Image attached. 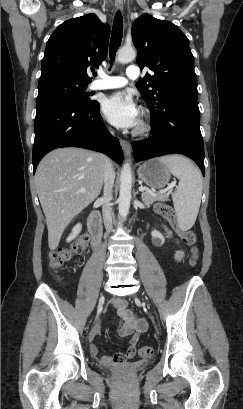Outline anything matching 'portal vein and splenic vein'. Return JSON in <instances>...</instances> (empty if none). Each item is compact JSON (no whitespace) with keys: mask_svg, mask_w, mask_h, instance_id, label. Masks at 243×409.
Listing matches in <instances>:
<instances>
[{"mask_svg":"<svg viewBox=\"0 0 243 409\" xmlns=\"http://www.w3.org/2000/svg\"><path fill=\"white\" fill-rule=\"evenodd\" d=\"M174 186H175V182L170 185L171 188H173ZM146 190H147V189H146L145 187H140V188H139V191H140V192H144V191H146ZM81 193H85V190H81Z\"/></svg>","mask_w":243,"mask_h":409,"instance_id":"obj_1","label":"portal vein and splenic vein"}]
</instances>
